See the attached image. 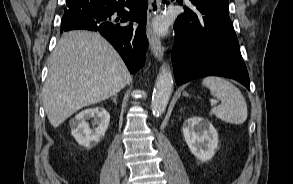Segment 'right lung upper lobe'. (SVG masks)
Masks as SVG:
<instances>
[{
  "label": "right lung upper lobe",
  "instance_id": "cb5924a9",
  "mask_svg": "<svg viewBox=\"0 0 293 184\" xmlns=\"http://www.w3.org/2000/svg\"><path fill=\"white\" fill-rule=\"evenodd\" d=\"M94 0H66L65 12L71 9L81 7L82 5Z\"/></svg>",
  "mask_w": 293,
  "mask_h": 184
}]
</instances>
